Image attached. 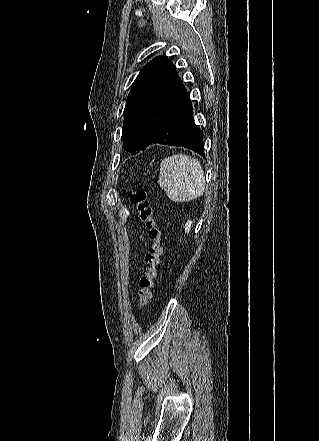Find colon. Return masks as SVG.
I'll use <instances>...</instances> for the list:
<instances>
[{"label":"colon","mask_w":319,"mask_h":441,"mask_svg":"<svg viewBox=\"0 0 319 441\" xmlns=\"http://www.w3.org/2000/svg\"><path fill=\"white\" fill-rule=\"evenodd\" d=\"M131 203L135 206L138 220L143 223L148 231L152 246L146 256L148 267L139 282V302L137 308L142 310L152 298V288L158 275V266L161 263L163 247L161 245L162 231L158 227L153 208L143 190L131 192Z\"/></svg>","instance_id":"colon-1"}]
</instances>
